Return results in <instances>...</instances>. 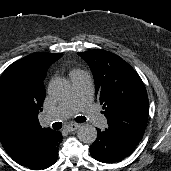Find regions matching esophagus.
<instances>
[{
  "mask_svg": "<svg viewBox=\"0 0 171 171\" xmlns=\"http://www.w3.org/2000/svg\"><path fill=\"white\" fill-rule=\"evenodd\" d=\"M80 127L79 124H69L65 127V129L68 131V132H72V131H75L77 130L78 128Z\"/></svg>",
  "mask_w": 171,
  "mask_h": 171,
  "instance_id": "esophagus-1",
  "label": "esophagus"
}]
</instances>
